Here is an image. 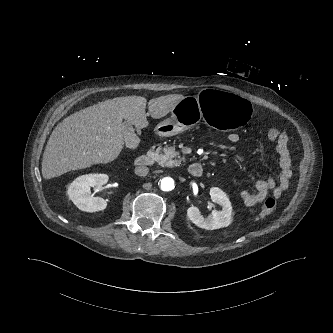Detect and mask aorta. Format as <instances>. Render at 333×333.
<instances>
[{"instance_id": "obj_1", "label": "aorta", "mask_w": 333, "mask_h": 333, "mask_svg": "<svg viewBox=\"0 0 333 333\" xmlns=\"http://www.w3.org/2000/svg\"><path fill=\"white\" fill-rule=\"evenodd\" d=\"M160 188L162 191H171L174 188V180L170 177H164L160 181Z\"/></svg>"}]
</instances>
